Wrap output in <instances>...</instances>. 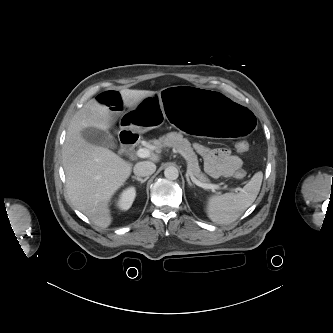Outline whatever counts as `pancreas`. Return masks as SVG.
I'll list each match as a JSON object with an SVG mask.
<instances>
[{
  "instance_id": "1",
  "label": "pancreas",
  "mask_w": 333,
  "mask_h": 333,
  "mask_svg": "<svg viewBox=\"0 0 333 333\" xmlns=\"http://www.w3.org/2000/svg\"><path fill=\"white\" fill-rule=\"evenodd\" d=\"M152 144L156 148L173 147L186 159L188 174H192L201 182L208 181L206 175L201 172L197 155L193 151L191 143L188 141V139L183 138L181 133H167L166 135L160 137L158 140H153Z\"/></svg>"
}]
</instances>
